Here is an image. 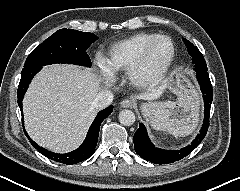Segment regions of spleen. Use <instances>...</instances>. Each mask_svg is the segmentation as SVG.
Returning a JSON list of instances; mask_svg holds the SVG:
<instances>
[{
    "label": "spleen",
    "instance_id": "spleen-1",
    "mask_svg": "<svg viewBox=\"0 0 240 191\" xmlns=\"http://www.w3.org/2000/svg\"><path fill=\"white\" fill-rule=\"evenodd\" d=\"M157 131L168 132L174 136H187L195 129V124H181L176 122L167 109L159 110L150 120Z\"/></svg>",
    "mask_w": 240,
    "mask_h": 191
}]
</instances>
